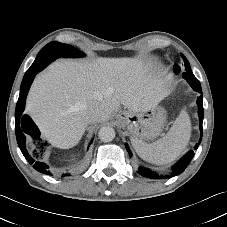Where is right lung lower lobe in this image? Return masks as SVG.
<instances>
[{"instance_id":"right-lung-lower-lobe-1","label":"right lung lower lobe","mask_w":227,"mask_h":227,"mask_svg":"<svg viewBox=\"0 0 227 227\" xmlns=\"http://www.w3.org/2000/svg\"><path fill=\"white\" fill-rule=\"evenodd\" d=\"M56 58H58L56 55H53L52 53L49 52L46 53L42 61L38 62V64H35L34 68L30 70L27 74H25L20 87V95L15 110L16 138L22 154L30 164H33V167L37 171L49 175H50V171L48 170L49 167L45 163L35 161L32 157H30L26 150L25 147L26 135L32 134L33 136H36L39 135L40 132L39 129L31 120V118L28 115L23 114V111L25 108L26 97L35 75L41 70H43L49 63L54 61Z\"/></svg>"}]
</instances>
